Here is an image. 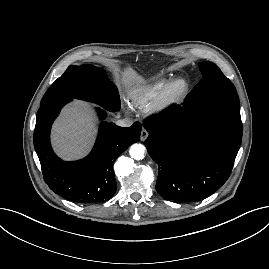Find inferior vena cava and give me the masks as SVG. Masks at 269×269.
Listing matches in <instances>:
<instances>
[{"instance_id": "inferior-vena-cava-1", "label": "inferior vena cava", "mask_w": 269, "mask_h": 269, "mask_svg": "<svg viewBox=\"0 0 269 269\" xmlns=\"http://www.w3.org/2000/svg\"><path fill=\"white\" fill-rule=\"evenodd\" d=\"M116 124L120 127H130L133 124V121L130 118H124L117 120Z\"/></svg>"}]
</instances>
